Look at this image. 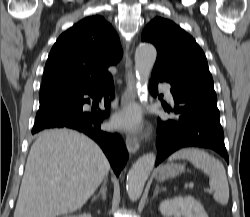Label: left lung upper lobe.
I'll list each match as a JSON object with an SVG mask.
<instances>
[{"mask_svg": "<svg viewBox=\"0 0 250 217\" xmlns=\"http://www.w3.org/2000/svg\"><path fill=\"white\" fill-rule=\"evenodd\" d=\"M141 39L157 49L152 74L170 84L214 89L204 52L193 37L173 21L156 17L145 27Z\"/></svg>", "mask_w": 250, "mask_h": 217, "instance_id": "obj_1", "label": "left lung upper lobe"}]
</instances>
